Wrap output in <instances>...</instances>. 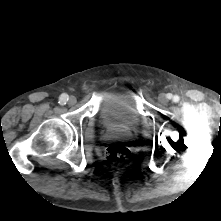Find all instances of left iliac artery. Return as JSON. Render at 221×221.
<instances>
[{
  "mask_svg": "<svg viewBox=\"0 0 221 221\" xmlns=\"http://www.w3.org/2000/svg\"><path fill=\"white\" fill-rule=\"evenodd\" d=\"M173 99H174V101H178L179 100V97L177 96V95H175L174 97H173Z\"/></svg>",
  "mask_w": 221,
  "mask_h": 221,
  "instance_id": "44dca946",
  "label": "left iliac artery"
}]
</instances>
